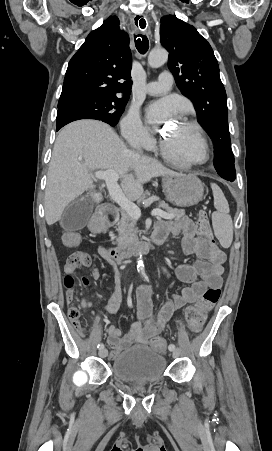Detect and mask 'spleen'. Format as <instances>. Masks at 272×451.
<instances>
[{"instance_id": "3e777b00", "label": "spleen", "mask_w": 272, "mask_h": 451, "mask_svg": "<svg viewBox=\"0 0 272 451\" xmlns=\"http://www.w3.org/2000/svg\"><path fill=\"white\" fill-rule=\"evenodd\" d=\"M214 196V208L217 212L212 214V226L214 233L222 247H230L233 239L232 218L229 216V204L219 186L211 184Z\"/></svg>"}]
</instances>
